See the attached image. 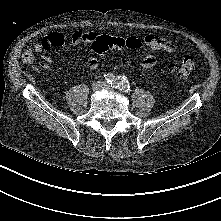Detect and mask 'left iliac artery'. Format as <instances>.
<instances>
[{
    "label": "left iliac artery",
    "instance_id": "obj_1",
    "mask_svg": "<svg viewBox=\"0 0 221 221\" xmlns=\"http://www.w3.org/2000/svg\"><path fill=\"white\" fill-rule=\"evenodd\" d=\"M111 86L114 87V88H119L123 92H128L130 90L129 83L124 78L115 79V83Z\"/></svg>",
    "mask_w": 221,
    "mask_h": 221
}]
</instances>
